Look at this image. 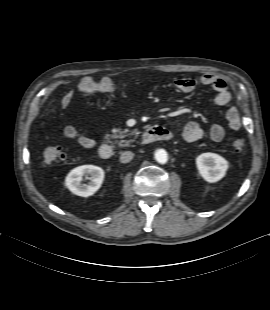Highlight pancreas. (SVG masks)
<instances>
[{
  "label": "pancreas",
  "mask_w": 270,
  "mask_h": 310,
  "mask_svg": "<svg viewBox=\"0 0 270 310\" xmlns=\"http://www.w3.org/2000/svg\"><path fill=\"white\" fill-rule=\"evenodd\" d=\"M135 133V131H130V130H128V129H125V130H123V131H121L120 129H117V130H115L114 132H113V134H106L105 135V139L107 140V141H109V140H111V139H117V138H124V137H126V136H128V135H132V134H134ZM130 142H133V140H121L119 143H118V145L120 146V147H124V146H129V144H130Z\"/></svg>",
  "instance_id": "cf45deb5"
}]
</instances>
